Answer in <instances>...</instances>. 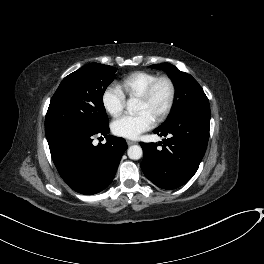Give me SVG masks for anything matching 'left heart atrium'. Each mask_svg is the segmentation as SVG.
Returning <instances> with one entry per match:
<instances>
[{
  "instance_id": "1",
  "label": "left heart atrium",
  "mask_w": 264,
  "mask_h": 264,
  "mask_svg": "<svg viewBox=\"0 0 264 264\" xmlns=\"http://www.w3.org/2000/svg\"><path fill=\"white\" fill-rule=\"evenodd\" d=\"M153 125V117L147 112H140L136 115H125L115 120L112 124V131L117 136L135 139L152 128Z\"/></svg>"
}]
</instances>
